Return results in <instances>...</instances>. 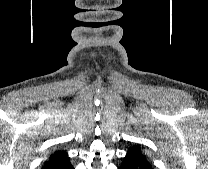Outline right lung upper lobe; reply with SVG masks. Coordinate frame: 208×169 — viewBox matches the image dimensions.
Wrapping results in <instances>:
<instances>
[{
  "mask_svg": "<svg viewBox=\"0 0 208 169\" xmlns=\"http://www.w3.org/2000/svg\"><path fill=\"white\" fill-rule=\"evenodd\" d=\"M68 158V154L65 151H55L49 159L45 162L44 166L42 169H47L48 167L52 166L55 163H58L64 159Z\"/></svg>",
  "mask_w": 208,
  "mask_h": 169,
  "instance_id": "cb5924a9",
  "label": "right lung upper lobe"
}]
</instances>
